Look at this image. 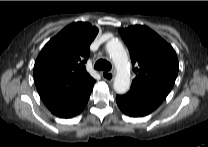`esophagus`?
<instances>
[{
  "mask_svg": "<svg viewBox=\"0 0 208 147\" xmlns=\"http://www.w3.org/2000/svg\"><path fill=\"white\" fill-rule=\"evenodd\" d=\"M101 76L105 81H108V82H111L114 79V73L113 72L102 71Z\"/></svg>",
  "mask_w": 208,
  "mask_h": 147,
  "instance_id": "esophagus-1",
  "label": "esophagus"
}]
</instances>
